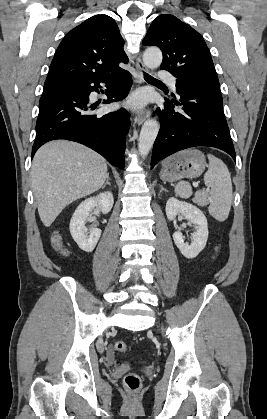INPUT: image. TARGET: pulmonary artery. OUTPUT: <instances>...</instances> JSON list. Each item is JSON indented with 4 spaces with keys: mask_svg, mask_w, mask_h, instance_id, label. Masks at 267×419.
Listing matches in <instances>:
<instances>
[{
    "mask_svg": "<svg viewBox=\"0 0 267 419\" xmlns=\"http://www.w3.org/2000/svg\"><path fill=\"white\" fill-rule=\"evenodd\" d=\"M158 76L161 79L165 80L171 86L172 89H176V79L173 75H171L168 72L161 71L159 72Z\"/></svg>",
    "mask_w": 267,
    "mask_h": 419,
    "instance_id": "obj_1",
    "label": "pulmonary artery"
}]
</instances>
